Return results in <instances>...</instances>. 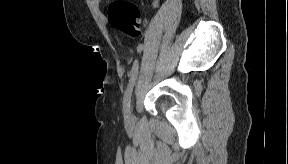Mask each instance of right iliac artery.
Returning <instances> with one entry per match:
<instances>
[{
    "mask_svg": "<svg viewBox=\"0 0 288 164\" xmlns=\"http://www.w3.org/2000/svg\"><path fill=\"white\" fill-rule=\"evenodd\" d=\"M142 50H143V45L139 44L137 47V52L141 53ZM138 68H139L138 60H135L133 67H132L131 78H130L128 87L125 91L124 98H123L124 114L126 113V111L128 110V108L130 106V98H131V94H132L135 80L137 78Z\"/></svg>",
    "mask_w": 288,
    "mask_h": 164,
    "instance_id": "obj_1",
    "label": "right iliac artery"
}]
</instances>
